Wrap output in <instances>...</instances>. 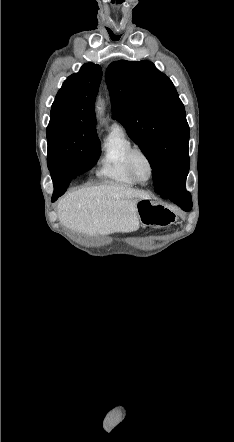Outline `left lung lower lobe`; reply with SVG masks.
<instances>
[{"label": "left lung lower lobe", "mask_w": 234, "mask_h": 442, "mask_svg": "<svg viewBox=\"0 0 234 442\" xmlns=\"http://www.w3.org/2000/svg\"><path fill=\"white\" fill-rule=\"evenodd\" d=\"M162 198L170 199L175 204L179 205L184 211H190L192 208L191 195L186 191L185 186L179 192L174 194H166Z\"/></svg>", "instance_id": "obj_1"}]
</instances>
